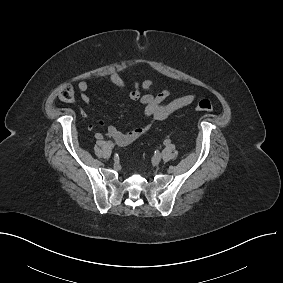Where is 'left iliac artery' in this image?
I'll return each mask as SVG.
<instances>
[{"label": "left iliac artery", "instance_id": "left-iliac-artery-1", "mask_svg": "<svg viewBox=\"0 0 283 283\" xmlns=\"http://www.w3.org/2000/svg\"><path fill=\"white\" fill-rule=\"evenodd\" d=\"M170 139H166L165 141H164V145H169L170 144Z\"/></svg>", "mask_w": 283, "mask_h": 283}]
</instances>
